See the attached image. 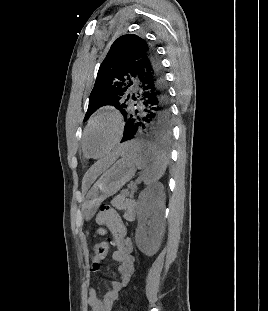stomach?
<instances>
[{
	"mask_svg": "<svg viewBox=\"0 0 268 311\" xmlns=\"http://www.w3.org/2000/svg\"><path fill=\"white\" fill-rule=\"evenodd\" d=\"M136 173L133 159L125 154L106 169L86 195L85 219L90 220L106 198L116 194Z\"/></svg>",
	"mask_w": 268,
	"mask_h": 311,
	"instance_id": "stomach-1",
	"label": "stomach"
}]
</instances>
